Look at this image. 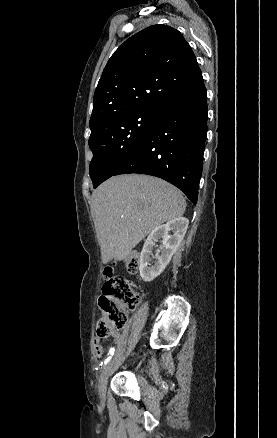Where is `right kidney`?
<instances>
[{
	"label": "right kidney",
	"instance_id": "obj_1",
	"mask_svg": "<svg viewBox=\"0 0 277 438\" xmlns=\"http://www.w3.org/2000/svg\"><path fill=\"white\" fill-rule=\"evenodd\" d=\"M189 220L187 218H174L163 226H157L151 230L143 250L140 254L139 272L143 282H152L154 278L160 276L166 266H168L173 254L179 248L188 228ZM161 240L159 250H156V256L151 258L152 250L156 242Z\"/></svg>",
	"mask_w": 277,
	"mask_h": 438
}]
</instances>
